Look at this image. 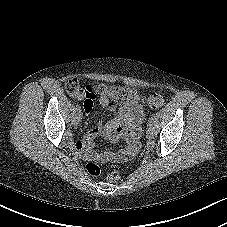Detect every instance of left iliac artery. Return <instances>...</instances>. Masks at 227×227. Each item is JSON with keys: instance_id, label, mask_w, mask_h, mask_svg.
<instances>
[{"instance_id": "obj_1", "label": "left iliac artery", "mask_w": 227, "mask_h": 227, "mask_svg": "<svg viewBox=\"0 0 227 227\" xmlns=\"http://www.w3.org/2000/svg\"><path fill=\"white\" fill-rule=\"evenodd\" d=\"M153 122H154V115H152L151 118H149L148 126L153 125Z\"/></svg>"}]
</instances>
